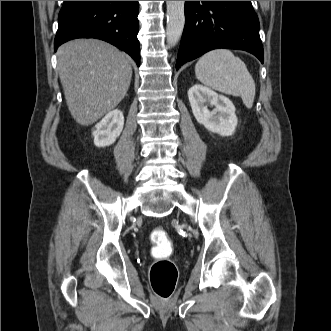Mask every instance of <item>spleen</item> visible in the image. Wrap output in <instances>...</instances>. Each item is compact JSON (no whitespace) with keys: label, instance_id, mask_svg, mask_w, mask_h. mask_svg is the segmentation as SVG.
Masks as SVG:
<instances>
[{"label":"spleen","instance_id":"1","mask_svg":"<svg viewBox=\"0 0 331 331\" xmlns=\"http://www.w3.org/2000/svg\"><path fill=\"white\" fill-rule=\"evenodd\" d=\"M196 78L219 92L240 96L247 108H252L255 82L245 63L227 49H216L199 58L195 65Z\"/></svg>","mask_w":331,"mask_h":331}]
</instances>
